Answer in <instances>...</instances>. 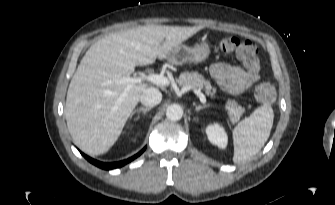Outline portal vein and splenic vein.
I'll return each mask as SVG.
<instances>
[{
	"mask_svg": "<svg viewBox=\"0 0 335 205\" xmlns=\"http://www.w3.org/2000/svg\"><path fill=\"white\" fill-rule=\"evenodd\" d=\"M120 83H127L129 84L127 87V90L131 88V86L135 83H140L142 81H148L151 82L155 85L165 87L169 85V79L161 74H148V75H141L138 77H123L118 80ZM194 93L199 97L200 101L202 103L206 102V97L205 95L196 88H192Z\"/></svg>",
	"mask_w": 335,
	"mask_h": 205,
	"instance_id": "18ae733b",
	"label": "portal vein and splenic vein"
}]
</instances>
